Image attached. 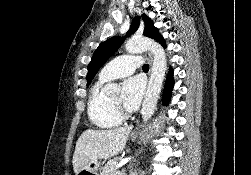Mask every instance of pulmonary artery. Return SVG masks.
Masks as SVG:
<instances>
[{"instance_id": "obj_1", "label": "pulmonary artery", "mask_w": 251, "mask_h": 175, "mask_svg": "<svg viewBox=\"0 0 251 175\" xmlns=\"http://www.w3.org/2000/svg\"><path fill=\"white\" fill-rule=\"evenodd\" d=\"M140 55H120L115 58V62H107V66L102 69L99 74L101 81H110L122 76H130L138 67H143V62H139Z\"/></svg>"}]
</instances>
